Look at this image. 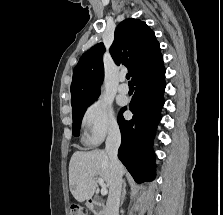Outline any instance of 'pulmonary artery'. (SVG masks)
Listing matches in <instances>:
<instances>
[{
    "label": "pulmonary artery",
    "instance_id": "e3ab8cb5",
    "mask_svg": "<svg viewBox=\"0 0 223 215\" xmlns=\"http://www.w3.org/2000/svg\"><path fill=\"white\" fill-rule=\"evenodd\" d=\"M119 84H118V91L122 94H127L129 91L128 85L125 83V76L120 75L119 78Z\"/></svg>",
    "mask_w": 223,
    "mask_h": 215
}]
</instances>
